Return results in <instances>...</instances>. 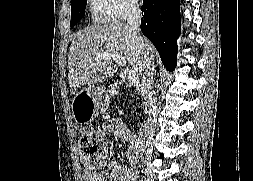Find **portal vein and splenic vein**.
Returning a JSON list of instances; mask_svg holds the SVG:
<instances>
[{"mask_svg": "<svg viewBox=\"0 0 253 181\" xmlns=\"http://www.w3.org/2000/svg\"><path fill=\"white\" fill-rule=\"evenodd\" d=\"M99 58H112L113 61H115L116 63H118L120 66H126V59L117 53H108V52H103L101 54L98 55ZM126 74H127V78L129 80V82L133 85L138 87L140 85V81H139V77L137 76V74L135 73L134 70L132 69H127L126 70Z\"/></svg>", "mask_w": 253, "mask_h": 181, "instance_id": "1", "label": "portal vein and splenic vein"}]
</instances>
